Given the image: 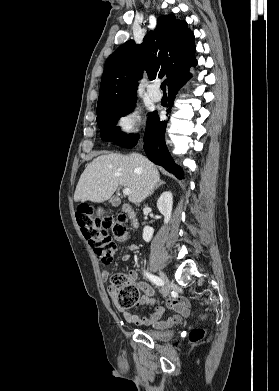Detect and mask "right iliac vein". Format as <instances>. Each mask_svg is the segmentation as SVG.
I'll use <instances>...</instances> for the list:
<instances>
[{"instance_id": "1", "label": "right iliac vein", "mask_w": 279, "mask_h": 391, "mask_svg": "<svg viewBox=\"0 0 279 391\" xmlns=\"http://www.w3.org/2000/svg\"><path fill=\"white\" fill-rule=\"evenodd\" d=\"M160 277L164 283L162 287V295L163 297H167L170 291V281L163 272L160 273Z\"/></svg>"}]
</instances>
